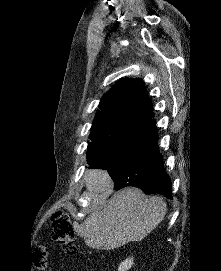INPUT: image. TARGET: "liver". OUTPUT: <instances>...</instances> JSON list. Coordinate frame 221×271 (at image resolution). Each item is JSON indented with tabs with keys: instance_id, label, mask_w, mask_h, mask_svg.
<instances>
[{
	"instance_id": "liver-1",
	"label": "liver",
	"mask_w": 221,
	"mask_h": 271,
	"mask_svg": "<svg viewBox=\"0 0 221 271\" xmlns=\"http://www.w3.org/2000/svg\"><path fill=\"white\" fill-rule=\"evenodd\" d=\"M84 179L92 213L75 229L90 247L114 249L128 241H141L164 219L166 203L162 197L145 195L138 187H124L106 203L114 187L108 171L87 169Z\"/></svg>"
}]
</instances>
